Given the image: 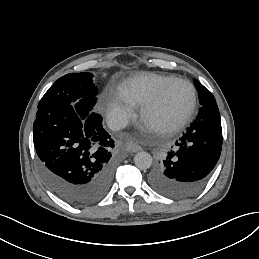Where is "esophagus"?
Masks as SVG:
<instances>
[{
  "label": "esophagus",
  "instance_id": "34e87169",
  "mask_svg": "<svg viewBox=\"0 0 259 259\" xmlns=\"http://www.w3.org/2000/svg\"><path fill=\"white\" fill-rule=\"evenodd\" d=\"M126 148L130 152H139L142 150L141 146L137 145L136 143H134L132 141L127 142Z\"/></svg>",
  "mask_w": 259,
  "mask_h": 259
}]
</instances>
